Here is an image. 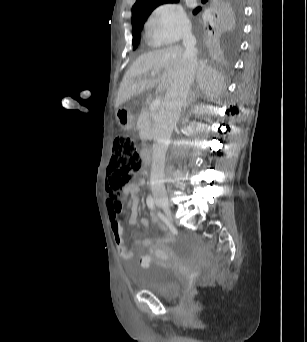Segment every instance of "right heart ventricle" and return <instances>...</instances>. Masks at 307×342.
<instances>
[{"label":"right heart ventricle","instance_id":"e07e8e85","mask_svg":"<svg viewBox=\"0 0 307 342\" xmlns=\"http://www.w3.org/2000/svg\"><path fill=\"white\" fill-rule=\"evenodd\" d=\"M142 43H143V51L145 52H155L158 45L155 44L153 41H151L150 39H148L147 37H145L144 35L142 36Z\"/></svg>","mask_w":307,"mask_h":342}]
</instances>
